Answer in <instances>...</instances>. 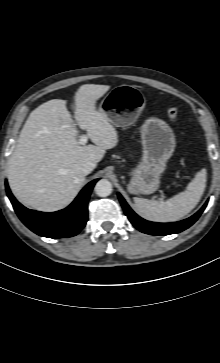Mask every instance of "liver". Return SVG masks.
<instances>
[{"mask_svg": "<svg viewBox=\"0 0 220 363\" xmlns=\"http://www.w3.org/2000/svg\"><path fill=\"white\" fill-rule=\"evenodd\" d=\"M109 89L84 84L74 95V117L95 145L79 144L65 100H49L30 113L7 167L9 186L21 203L44 212L62 209L85 181L82 165L97 164L105 150L117 145L116 129L96 109V101Z\"/></svg>", "mask_w": 220, "mask_h": 363, "instance_id": "liver-1", "label": "liver"}]
</instances>
